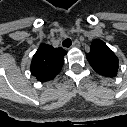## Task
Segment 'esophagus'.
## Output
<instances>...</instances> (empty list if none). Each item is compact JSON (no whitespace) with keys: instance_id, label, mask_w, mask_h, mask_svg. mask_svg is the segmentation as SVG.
Returning <instances> with one entry per match:
<instances>
[{"instance_id":"obj_1","label":"esophagus","mask_w":127,"mask_h":127,"mask_svg":"<svg viewBox=\"0 0 127 127\" xmlns=\"http://www.w3.org/2000/svg\"><path fill=\"white\" fill-rule=\"evenodd\" d=\"M72 46H75V47H79L80 46V42L76 39L72 42ZM66 48V47H65Z\"/></svg>"}]
</instances>
